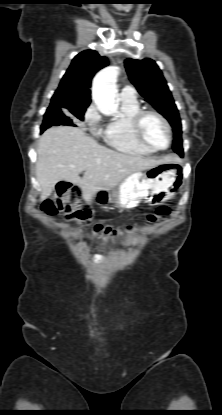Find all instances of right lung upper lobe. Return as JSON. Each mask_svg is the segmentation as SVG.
Segmentation results:
<instances>
[{
  "mask_svg": "<svg viewBox=\"0 0 222 415\" xmlns=\"http://www.w3.org/2000/svg\"><path fill=\"white\" fill-rule=\"evenodd\" d=\"M108 65V60L94 50H85L74 57L55 91L51 106L70 104H90L91 80L100 69Z\"/></svg>",
  "mask_w": 222,
  "mask_h": 415,
  "instance_id": "1",
  "label": "right lung upper lobe"
}]
</instances>
